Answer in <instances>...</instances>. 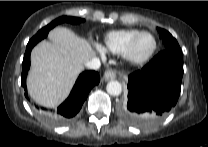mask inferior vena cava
<instances>
[{
  "mask_svg": "<svg viewBox=\"0 0 208 147\" xmlns=\"http://www.w3.org/2000/svg\"><path fill=\"white\" fill-rule=\"evenodd\" d=\"M100 60L96 57L90 59L89 61H87L85 63V66L89 69H94V70H97L100 68Z\"/></svg>",
  "mask_w": 208,
  "mask_h": 147,
  "instance_id": "602c4592",
  "label": "inferior vena cava"
}]
</instances>
